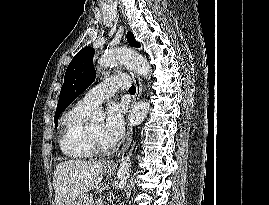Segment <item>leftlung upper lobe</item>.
Segmentation results:
<instances>
[{"label": "left lung upper lobe", "mask_w": 269, "mask_h": 205, "mask_svg": "<svg viewBox=\"0 0 269 205\" xmlns=\"http://www.w3.org/2000/svg\"><path fill=\"white\" fill-rule=\"evenodd\" d=\"M127 41L131 46L140 47V44L136 42L131 32L127 34ZM94 52L92 47H86L79 51L70 62L65 73L54 117L56 126L58 125V116L95 80L96 71L93 67Z\"/></svg>", "instance_id": "1"}]
</instances>
